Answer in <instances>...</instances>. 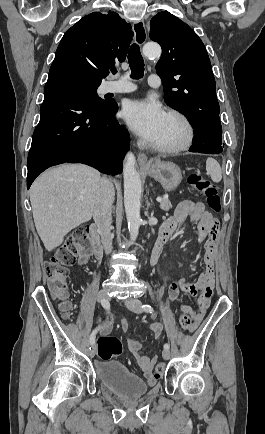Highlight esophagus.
<instances>
[{"label":"esophagus","instance_id":"obj_1","mask_svg":"<svg viewBox=\"0 0 265 434\" xmlns=\"http://www.w3.org/2000/svg\"><path fill=\"white\" fill-rule=\"evenodd\" d=\"M132 29L134 32V42L137 45H143L147 40V31L143 20H136L133 22ZM140 167L150 166L147 156L140 152L137 157Z\"/></svg>","mask_w":265,"mask_h":434}]
</instances>
